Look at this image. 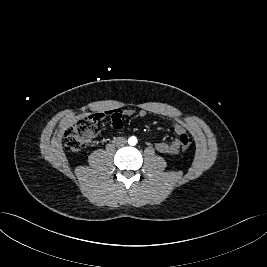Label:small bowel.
Wrapping results in <instances>:
<instances>
[{
    "instance_id": "c3829d8e",
    "label": "small bowel",
    "mask_w": 267,
    "mask_h": 267,
    "mask_svg": "<svg viewBox=\"0 0 267 267\" xmlns=\"http://www.w3.org/2000/svg\"><path fill=\"white\" fill-rule=\"evenodd\" d=\"M134 110L132 109H127V110H112L106 113H102L103 115H110L112 119V126L115 130H122L124 125L122 121V115L125 116H133L134 115ZM149 114V112L145 109H142L138 112V115L140 117H146ZM174 131L178 134L181 135L186 132V127L183 123H176L174 125ZM157 151L163 154H177L181 148V143L179 139H174L171 142H158L155 145Z\"/></svg>"
}]
</instances>
